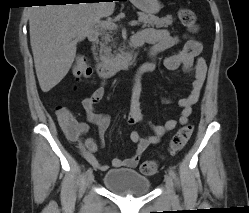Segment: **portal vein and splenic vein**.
Here are the masks:
<instances>
[{"label":"portal vein and splenic vein","instance_id":"1","mask_svg":"<svg viewBox=\"0 0 249 213\" xmlns=\"http://www.w3.org/2000/svg\"><path fill=\"white\" fill-rule=\"evenodd\" d=\"M131 26H136L139 24V22L137 20H133L129 23ZM97 26L101 27V28H106V29H116L117 25L111 21H99L97 23Z\"/></svg>","mask_w":249,"mask_h":213}]
</instances>
